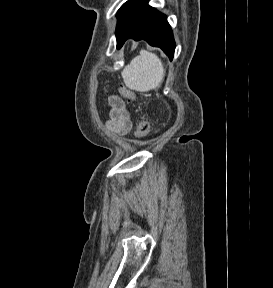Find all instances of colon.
Segmentation results:
<instances>
[{
	"label": "colon",
	"instance_id": "5ec220e1",
	"mask_svg": "<svg viewBox=\"0 0 273 288\" xmlns=\"http://www.w3.org/2000/svg\"><path fill=\"white\" fill-rule=\"evenodd\" d=\"M119 93L122 97L129 101L135 100L136 96L135 93L125 86H120ZM151 131V123L148 119L143 118L141 119L135 129V136L137 138H144L146 137Z\"/></svg>",
	"mask_w": 273,
	"mask_h": 288
}]
</instances>
